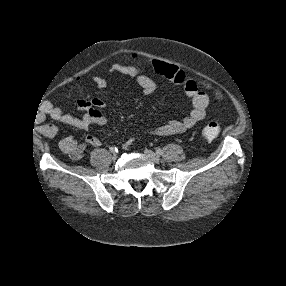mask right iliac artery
<instances>
[{
	"mask_svg": "<svg viewBox=\"0 0 286 286\" xmlns=\"http://www.w3.org/2000/svg\"><path fill=\"white\" fill-rule=\"evenodd\" d=\"M110 152L112 153L118 152V149L116 147H111Z\"/></svg>",
	"mask_w": 286,
	"mask_h": 286,
	"instance_id": "obj_1",
	"label": "right iliac artery"
}]
</instances>
